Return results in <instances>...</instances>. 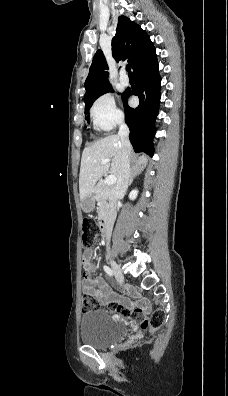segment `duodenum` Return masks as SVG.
I'll return each mask as SVG.
<instances>
[{
	"mask_svg": "<svg viewBox=\"0 0 228 396\" xmlns=\"http://www.w3.org/2000/svg\"><path fill=\"white\" fill-rule=\"evenodd\" d=\"M100 229L104 235L109 232V221L107 218H101L99 221Z\"/></svg>",
	"mask_w": 228,
	"mask_h": 396,
	"instance_id": "duodenum-1",
	"label": "duodenum"
}]
</instances>
